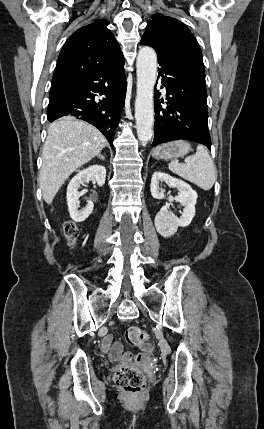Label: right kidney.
<instances>
[{
  "label": "right kidney",
  "instance_id": "1",
  "mask_svg": "<svg viewBox=\"0 0 264 429\" xmlns=\"http://www.w3.org/2000/svg\"><path fill=\"white\" fill-rule=\"evenodd\" d=\"M95 180L99 186H103L106 180V168L101 165H93L74 176L67 187V205L70 217L75 222L85 221L93 211L94 204L92 201H87V204L81 210H78L79 187L84 183Z\"/></svg>",
  "mask_w": 264,
  "mask_h": 429
}]
</instances>
